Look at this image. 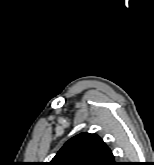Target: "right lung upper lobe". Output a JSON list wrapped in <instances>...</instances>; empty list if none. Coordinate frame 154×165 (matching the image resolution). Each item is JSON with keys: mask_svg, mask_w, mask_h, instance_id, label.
<instances>
[{"mask_svg": "<svg viewBox=\"0 0 154 165\" xmlns=\"http://www.w3.org/2000/svg\"><path fill=\"white\" fill-rule=\"evenodd\" d=\"M51 165H114L113 154L96 134L71 138L50 162Z\"/></svg>", "mask_w": 154, "mask_h": 165, "instance_id": "right-lung-upper-lobe-1", "label": "right lung upper lobe"}]
</instances>
